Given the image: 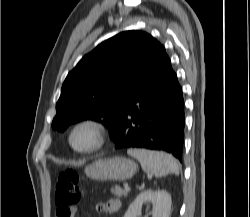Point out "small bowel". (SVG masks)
I'll list each match as a JSON object with an SVG mask.
<instances>
[{
	"mask_svg": "<svg viewBox=\"0 0 250 217\" xmlns=\"http://www.w3.org/2000/svg\"><path fill=\"white\" fill-rule=\"evenodd\" d=\"M121 207V202L119 199L117 198H112L110 200H108L107 202L103 203L100 205L99 209L100 211L104 212V213H109V214H112V213H116L119 211ZM78 211V209H74L72 210L70 214H74ZM69 217V216H68Z\"/></svg>",
	"mask_w": 250,
	"mask_h": 217,
	"instance_id": "small-bowel-1",
	"label": "small bowel"
}]
</instances>
